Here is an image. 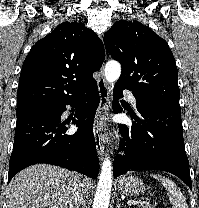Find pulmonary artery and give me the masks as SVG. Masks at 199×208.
<instances>
[{"label":"pulmonary artery","mask_w":199,"mask_h":208,"mask_svg":"<svg viewBox=\"0 0 199 208\" xmlns=\"http://www.w3.org/2000/svg\"><path fill=\"white\" fill-rule=\"evenodd\" d=\"M124 95L132 105L136 106V98L131 91L124 90Z\"/></svg>","instance_id":"obj_1"}]
</instances>
